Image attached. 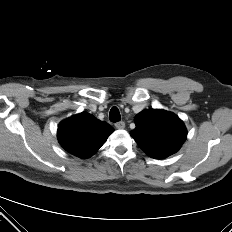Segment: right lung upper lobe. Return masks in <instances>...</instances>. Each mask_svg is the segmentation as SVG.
<instances>
[{
    "instance_id": "obj_1",
    "label": "right lung upper lobe",
    "mask_w": 232,
    "mask_h": 232,
    "mask_svg": "<svg viewBox=\"0 0 232 232\" xmlns=\"http://www.w3.org/2000/svg\"><path fill=\"white\" fill-rule=\"evenodd\" d=\"M113 131L108 123L82 112L60 123L58 140L66 151L85 159L95 154Z\"/></svg>"
}]
</instances>
